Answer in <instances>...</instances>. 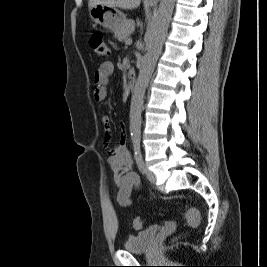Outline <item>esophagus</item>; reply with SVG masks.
Wrapping results in <instances>:
<instances>
[{"instance_id": "34e87169", "label": "esophagus", "mask_w": 267, "mask_h": 267, "mask_svg": "<svg viewBox=\"0 0 267 267\" xmlns=\"http://www.w3.org/2000/svg\"><path fill=\"white\" fill-rule=\"evenodd\" d=\"M149 2H158L159 0H147Z\"/></svg>"}]
</instances>
